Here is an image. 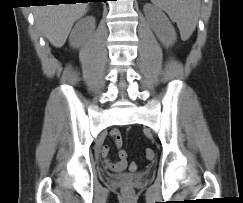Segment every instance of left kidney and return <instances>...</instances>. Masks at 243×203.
<instances>
[{"label":"left kidney","mask_w":243,"mask_h":203,"mask_svg":"<svg viewBox=\"0 0 243 203\" xmlns=\"http://www.w3.org/2000/svg\"><path fill=\"white\" fill-rule=\"evenodd\" d=\"M144 13L160 41L166 46L172 45L176 41L177 35L167 16L151 5L144 7Z\"/></svg>","instance_id":"obj_1"}]
</instances>
